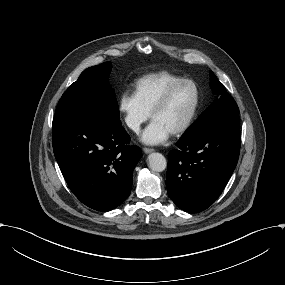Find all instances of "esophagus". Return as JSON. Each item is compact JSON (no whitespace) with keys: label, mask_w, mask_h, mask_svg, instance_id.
Instances as JSON below:
<instances>
[{"label":"esophagus","mask_w":285,"mask_h":285,"mask_svg":"<svg viewBox=\"0 0 285 285\" xmlns=\"http://www.w3.org/2000/svg\"><path fill=\"white\" fill-rule=\"evenodd\" d=\"M143 151H144L146 154H149V153H151V152H154V149H153V148L144 147V148H143Z\"/></svg>","instance_id":"esophagus-1"}]
</instances>
